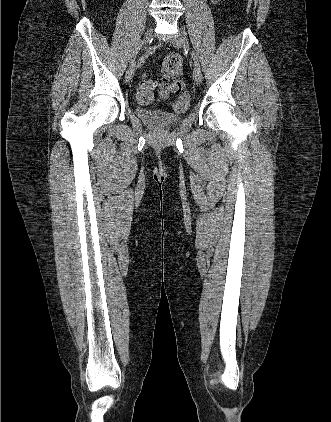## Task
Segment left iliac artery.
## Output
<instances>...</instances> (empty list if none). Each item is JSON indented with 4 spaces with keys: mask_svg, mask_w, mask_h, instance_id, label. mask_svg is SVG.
<instances>
[{
    "mask_svg": "<svg viewBox=\"0 0 331 422\" xmlns=\"http://www.w3.org/2000/svg\"><path fill=\"white\" fill-rule=\"evenodd\" d=\"M192 57H193V60H194L195 67L200 69V64H199L198 58H197V56L194 52H192Z\"/></svg>",
    "mask_w": 331,
    "mask_h": 422,
    "instance_id": "left-iliac-artery-1",
    "label": "left iliac artery"
}]
</instances>
